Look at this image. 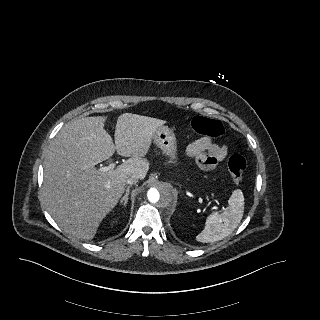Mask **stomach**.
<instances>
[{"instance_id":"stomach-1","label":"stomach","mask_w":320,"mask_h":320,"mask_svg":"<svg viewBox=\"0 0 320 320\" xmlns=\"http://www.w3.org/2000/svg\"><path fill=\"white\" fill-rule=\"evenodd\" d=\"M154 143L169 157L171 164L177 163V141L174 132L168 126H160L153 135Z\"/></svg>"}]
</instances>
